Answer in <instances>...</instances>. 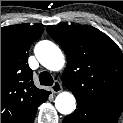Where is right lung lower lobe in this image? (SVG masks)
Listing matches in <instances>:
<instances>
[{"label":"right lung lower lobe","instance_id":"obj_1","mask_svg":"<svg viewBox=\"0 0 123 123\" xmlns=\"http://www.w3.org/2000/svg\"><path fill=\"white\" fill-rule=\"evenodd\" d=\"M35 115H36V113H35ZM35 115L27 123H33L34 122Z\"/></svg>","mask_w":123,"mask_h":123}]
</instances>
